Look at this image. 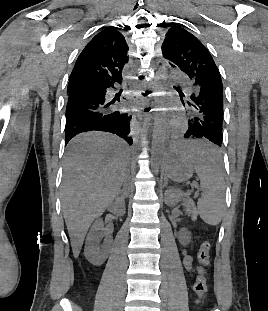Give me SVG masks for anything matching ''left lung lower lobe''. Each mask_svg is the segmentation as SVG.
<instances>
[{
    "instance_id": "left-lung-lower-lobe-1",
    "label": "left lung lower lobe",
    "mask_w": 268,
    "mask_h": 311,
    "mask_svg": "<svg viewBox=\"0 0 268 311\" xmlns=\"http://www.w3.org/2000/svg\"><path fill=\"white\" fill-rule=\"evenodd\" d=\"M191 114L179 134V141L207 140L219 147L223 143V88L216 84H205L190 96Z\"/></svg>"
}]
</instances>
